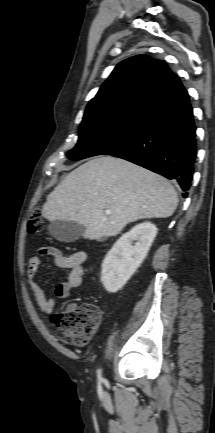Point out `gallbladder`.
<instances>
[{"instance_id":"1","label":"gallbladder","mask_w":215,"mask_h":433,"mask_svg":"<svg viewBox=\"0 0 215 433\" xmlns=\"http://www.w3.org/2000/svg\"><path fill=\"white\" fill-rule=\"evenodd\" d=\"M84 226L73 221L56 220L49 224L48 230L53 238L70 243L78 240L84 233Z\"/></svg>"}]
</instances>
